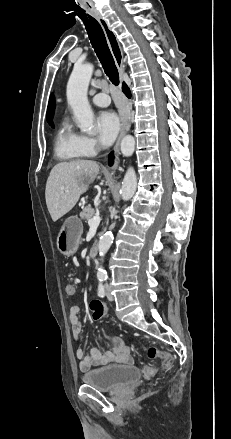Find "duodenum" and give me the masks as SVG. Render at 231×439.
Listing matches in <instances>:
<instances>
[{"label": "duodenum", "instance_id": "410a0bca", "mask_svg": "<svg viewBox=\"0 0 231 439\" xmlns=\"http://www.w3.org/2000/svg\"><path fill=\"white\" fill-rule=\"evenodd\" d=\"M97 253H98V246L97 244H93L88 251V257L90 259H94L96 258Z\"/></svg>", "mask_w": 231, "mask_h": 439}]
</instances>
